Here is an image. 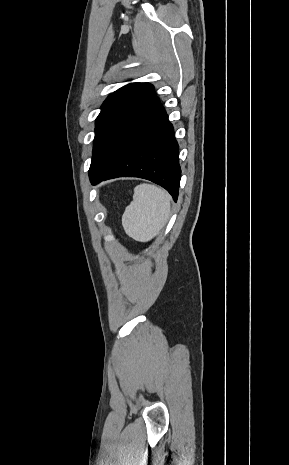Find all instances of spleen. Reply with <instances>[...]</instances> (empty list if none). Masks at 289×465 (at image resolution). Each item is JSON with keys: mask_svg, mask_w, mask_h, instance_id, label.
I'll list each match as a JSON object with an SVG mask.
<instances>
[{"mask_svg": "<svg viewBox=\"0 0 289 465\" xmlns=\"http://www.w3.org/2000/svg\"><path fill=\"white\" fill-rule=\"evenodd\" d=\"M170 208V196L163 189L145 183L136 186L122 216L126 234L139 242L150 241L167 223Z\"/></svg>", "mask_w": 289, "mask_h": 465, "instance_id": "3e777b00", "label": "spleen"}]
</instances>
